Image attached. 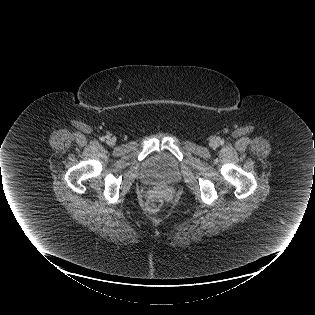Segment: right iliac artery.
<instances>
[{"label": "right iliac artery", "instance_id": "obj_1", "mask_svg": "<svg viewBox=\"0 0 315 315\" xmlns=\"http://www.w3.org/2000/svg\"><path fill=\"white\" fill-rule=\"evenodd\" d=\"M101 140H102V141H104V140H105V138H104V137H102V138H101Z\"/></svg>", "mask_w": 315, "mask_h": 315}]
</instances>
